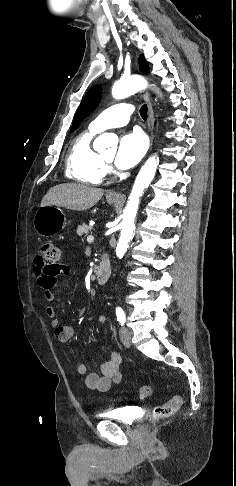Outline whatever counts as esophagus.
Here are the masks:
<instances>
[{
	"label": "esophagus",
	"mask_w": 236,
	"mask_h": 486,
	"mask_svg": "<svg viewBox=\"0 0 236 486\" xmlns=\"http://www.w3.org/2000/svg\"><path fill=\"white\" fill-rule=\"evenodd\" d=\"M144 99L145 101L147 102V105H148V126H149V130H150V140H151V143L153 141V133H152V129H153V124H154V111H153V108H152V103H151V100H150V97L148 95V93L145 91L144 94ZM109 197H119L121 194L119 191H109L108 194H107Z\"/></svg>",
	"instance_id": "34e87169"
}]
</instances>
